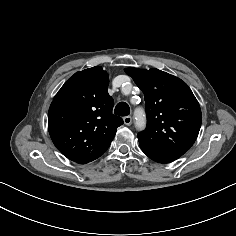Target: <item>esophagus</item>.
I'll return each instance as SVG.
<instances>
[{
    "label": "esophagus",
    "mask_w": 236,
    "mask_h": 236,
    "mask_svg": "<svg viewBox=\"0 0 236 236\" xmlns=\"http://www.w3.org/2000/svg\"><path fill=\"white\" fill-rule=\"evenodd\" d=\"M124 124L127 126H130L132 123V117L131 116H126L123 118Z\"/></svg>",
    "instance_id": "obj_1"
}]
</instances>
